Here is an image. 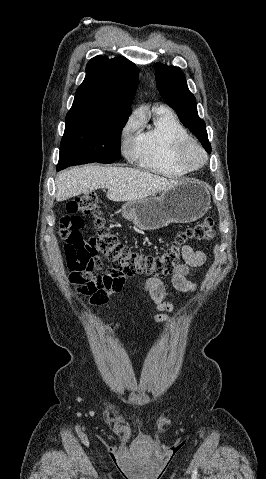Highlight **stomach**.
Here are the masks:
<instances>
[{
	"mask_svg": "<svg viewBox=\"0 0 266 479\" xmlns=\"http://www.w3.org/2000/svg\"><path fill=\"white\" fill-rule=\"evenodd\" d=\"M210 207L207 187L197 180H185L158 196L128 201L122 216L141 230H156L170 223H190L201 218Z\"/></svg>",
	"mask_w": 266,
	"mask_h": 479,
	"instance_id": "obj_1",
	"label": "stomach"
}]
</instances>
